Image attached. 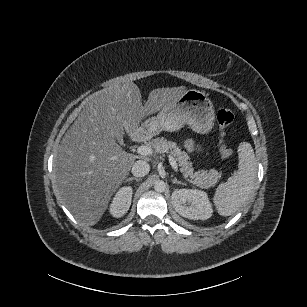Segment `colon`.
I'll use <instances>...</instances> for the list:
<instances>
[{
    "mask_svg": "<svg viewBox=\"0 0 307 307\" xmlns=\"http://www.w3.org/2000/svg\"><path fill=\"white\" fill-rule=\"evenodd\" d=\"M217 119L221 129L220 154L223 158H230L233 155V150L227 146L225 136L227 127L231 125L234 120V114L229 109H221L218 111Z\"/></svg>",
    "mask_w": 307,
    "mask_h": 307,
    "instance_id": "5ec220e1",
    "label": "colon"
}]
</instances>
